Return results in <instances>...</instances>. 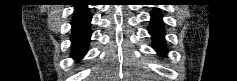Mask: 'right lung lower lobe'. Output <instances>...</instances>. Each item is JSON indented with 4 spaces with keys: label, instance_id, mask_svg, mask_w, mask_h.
I'll return each instance as SVG.
<instances>
[{
    "label": "right lung lower lobe",
    "instance_id": "right-lung-lower-lobe-1",
    "mask_svg": "<svg viewBox=\"0 0 237 81\" xmlns=\"http://www.w3.org/2000/svg\"><path fill=\"white\" fill-rule=\"evenodd\" d=\"M74 17L72 19V57L82 58L87 52V45L90 41L91 14L86 5H75Z\"/></svg>",
    "mask_w": 237,
    "mask_h": 81
}]
</instances>
